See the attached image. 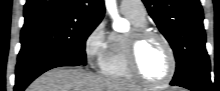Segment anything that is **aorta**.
Here are the masks:
<instances>
[{
	"mask_svg": "<svg viewBox=\"0 0 220 91\" xmlns=\"http://www.w3.org/2000/svg\"><path fill=\"white\" fill-rule=\"evenodd\" d=\"M105 6L111 17L113 18V27L117 31L126 30L125 22L119 17L117 11L116 0H105Z\"/></svg>",
	"mask_w": 220,
	"mask_h": 91,
	"instance_id": "aorta-1",
	"label": "aorta"
}]
</instances>
